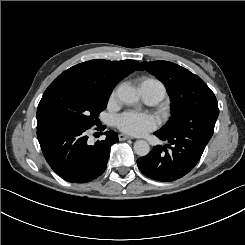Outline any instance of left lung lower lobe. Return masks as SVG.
<instances>
[{"label":"left lung lower lobe","mask_w":245,"mask_h":245,"mask_svg":"<svg viewBox=\"0 0 245 245\" xmlns=\"http://www.w3.org/2000/svg\"><path fill=\"white\" fill-rule=\"evenodd\" d=\"M215 122L209 117H202L200 121L193 122L191 128L173 133L155 132L168 144L163 147L157 145L148 155L139 158L138 168L156 181L171 182L184 177L200 160L213 135Z\"/></svg>","instance_id":"1"}]
</instances>
